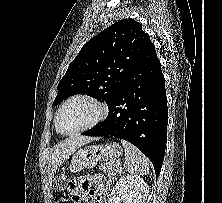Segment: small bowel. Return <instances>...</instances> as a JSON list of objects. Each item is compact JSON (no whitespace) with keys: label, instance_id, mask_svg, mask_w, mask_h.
Returning <instances> with one entry per match:
<instances>
[{"label":"small bowel","instance_id":"obj_1","mask_svg":"<svg viewBox=\"0 0 222 203\" xmlns=\"http://www.w3.org/2000/svg\"><path fill=\"white\" fill-rule=\"evenodd\" d=\"M74 184V203H84L88 196L95 199V203H105L108 186L102 184L95 176H89L76 181Z\"/></svg>","mask_w":222,"mask_h":203}]
</instances>
